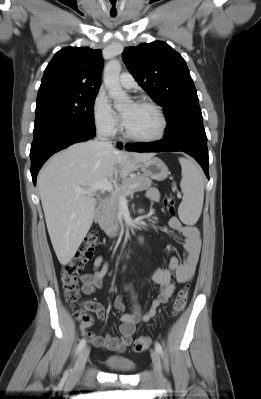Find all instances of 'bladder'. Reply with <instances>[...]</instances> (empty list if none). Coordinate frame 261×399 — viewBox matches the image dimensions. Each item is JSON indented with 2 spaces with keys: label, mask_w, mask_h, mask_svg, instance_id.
Returning <instances> with one entry per match:
<instances>
[{
  "label": "bladder",
  "mask_w": 261,
  "mask_h": 399,
  "mask_svg": "<svg viewBox=\"0 0 261 399\" xmlns=\"http://www.w3.org/2000/svg\"><path fill=\"white\" fill-rule=\"evenodd\" d=\"M103 363L111 370L125 373L131 372L136 368V365L133 361L115 356H108L104 358Z\"/></svg>",
  "instance_id": "obj_1"
}]
</instances>
